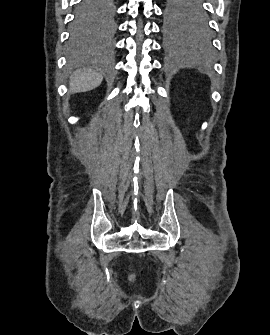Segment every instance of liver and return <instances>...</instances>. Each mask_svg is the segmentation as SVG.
I'll return each instance as SVG.
<instances>
[{
  "mask_svg": "<svg viewBox=\"0 0 270 335\" xmlns=\"http://www.w3.org/2000/svg\"><path fill=\"white\" fill-rule=\"evenodd\" d=\"M103 76L93 70H77L70 80V90L73 92H89L100 86Z\"/></svg>",
  "mask_w": 270,
  "mask_h": 335,
  "instance_id": "obj_1",
  "label": "liver"
}]
</instances>
